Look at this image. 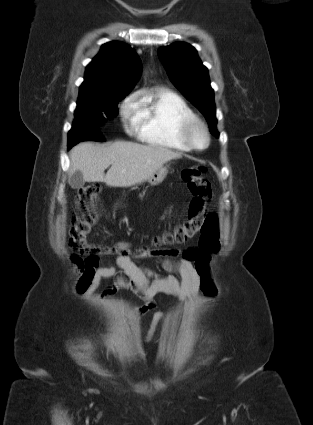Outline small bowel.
Returning <instances> with one entry per match:
<instances>
[{
  "mask_svg": "<svg viewBox=\"0 0 313 425\" xmlns=\"http://www.w3.org/2000/svg\"><path fill=\"white\" fill-rule=\"evenodd\" d=\"M115 248L125 251L116 259V264L120 270L117 271L113 266L97 268L98 262H96L91 270L84 273L81 280L80 289L85 297L93 294L103 279L112 278V285L102 291L101 297L113 296L122 290H129L143 301V305L138 310V314L143 315L156 310L155 296L157 294H166L186 300L190 297H197L201 293L199 274L193 263L184 257L178 261L163 259L161 267L167 274L161 275L149 268L137 265L132 260L128 243L119 242L115 245ZM157 255L178 256L179 251L175 249L162 253L144 251L136 254L135 257L147 258ZM163 319L164 316L161 312H154L145 337L146 342L155 339Z\"/></svg>",
  "mask_w": 313,
  "mask_h": 425,
  "instance_id": "small-bowel-1",
  "label": "small bowel"
}]
</instances>
